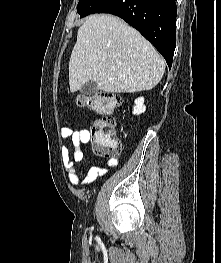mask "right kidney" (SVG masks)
<instances>
[{
    "instance_id": "1",
    "label": "right kidney",
    "mask_w": 221,
    "mask_h": 263,
    "mask_svg": "<svg viewBox=\"0 0 221 263\" xmlns=\"http://www.w3.org/2000/svg\"><path fill=\"white\" fill-rule=\"evenodd\" d=\"M146 106L144 105V97H139L135 99V106L133 107V114L140 115L144 113Z\"/></svg>"
}]
</instances>
